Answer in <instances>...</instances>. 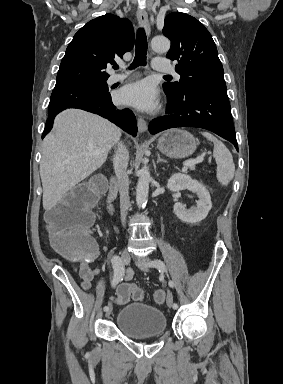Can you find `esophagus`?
Masks as SVG:
<instances>
[{"mask_svg":"<svg viewBox=\"0 0 283 384\" xmlns=\"http://www.w3.org/2000/svg\"><path fill=\"white\" fill-rule=\"evenodd\" d=\"M137 20L142 27L145 28L147 35H150V23L148 20V15L145 10L138 9L137 10ZM137 126L139 132H145L147 130V123L142 117H138Z\"/></svg>","mask_w":283,"mask_h":384,"instance_id":"esophagus-1","label":"esophagus"}]
</instances>
